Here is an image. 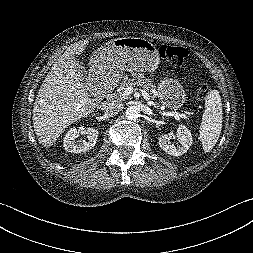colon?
I'll use <instances>...</instances> for the list:
<instances>
[{
    "label": "colon",
    "mask_w": 253,
    "mask_h": 253,
    "mask_svg": "<svg viewBox=\"0 0 253 253\" xmlns=\"http://www.w3.org/2000/svg\"><path fill=\"white\" fill-rule=\"evenodd\" d=\"M159 55L163 60H165L170 65L180 66L187 56V50L183 47L163 44L159 47ZM209 93L210 88L206 84H202L198 88V96L201 99L207 98Z\"/></svg>",
    "instance_id": "5ec220e1"
}]
</instances>
